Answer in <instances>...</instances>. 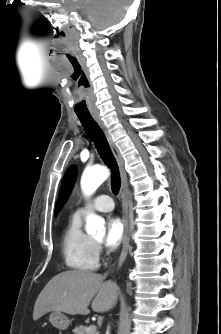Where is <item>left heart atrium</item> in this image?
<instances>
[{"label": "left heart atrium", "instance_id": "left-heart-atrium-1", "mask_svg": "<svg viewBox=\"0 0 221 334\" xmlns=\"http://www.w3.org/2000/svg\"><path fill=\"white\" fill-rule=\"evenodd\" d=\"M124 237V225L118 217H110L106 224L105 244L114 248L118 246Z\"/></svg>", "mask_w": 221, "mask_h": 334}]
</instances>
